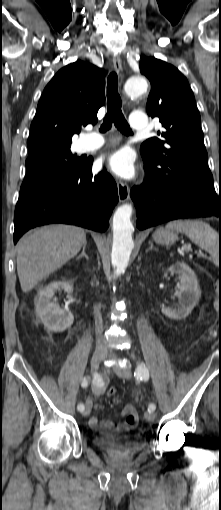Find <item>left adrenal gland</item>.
I'll return each instance as SVG.
<instances>
[{"instance_id": "1", "label": "left adrenal gland", "mask_w": 221, "mask_h": 510, "mask_svg": "<svg viewBox=\"0 0 221 510\" xmlns=\"http://www.w3.org/2000/svg\"><path fill=\"white\" fill-rule=\"evenodd\" d=\"M150 250H155V251H157V249H156V248H154V246H153V243H152V242H149V248L146 250V252H148V251H150Z\"/></svg>"}]
</instances>
